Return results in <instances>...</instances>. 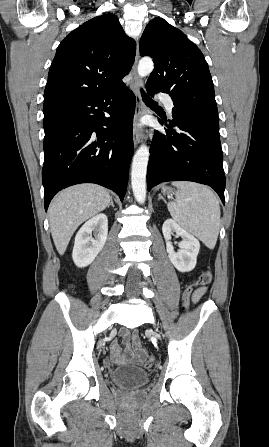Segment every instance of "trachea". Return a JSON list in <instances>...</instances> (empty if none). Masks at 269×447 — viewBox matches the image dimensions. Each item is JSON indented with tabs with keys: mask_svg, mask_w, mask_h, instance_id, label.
<instances>
[{
	"mask_svg": "<svg viewBox=\"0 0 269 447\" xmlns=\"http://www.w3.org/2000/svg\"><path fill=\"white\" fill-rule=\"evenodd\" d=\"M141 94L143 97V101L147 104V105H157L156 102H154V100H152L150 97H148V95L145 94L144 90L141 89Z\"/></svg>",
	"mask_w": 269,
	"mask_h": 447,
	"instance_id": "1",
	"label": "trachea"
}]
</instances>
